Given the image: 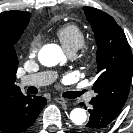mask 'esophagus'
Listing matches in <instances>:
<instances>
[{
    "label": "esophagus",
    "instance_id": "obj_1",
    "mask_svg": "<svg viewBox=\"0 0 133 133\" xmlns=\"http://www.w3.org/2000/svg\"><path fill=\"white\" fill-rule=\"evenodd\" d=\"M54 100H55L57 103H59V104H66V103H67L66 99L60 98V97H56Z\"/></svg>",
    "mask_w": 133,
    "mask_h": 133
}]
</instances>
